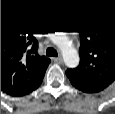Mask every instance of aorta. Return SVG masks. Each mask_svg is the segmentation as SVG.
Here are the masks:
<instances>
[{"instance_id": "aorta-1", "label": "aorta", "mask_w": 115, "mask_h": 114, "mask_svg": "<svg viewBox=\"0 0 115 114\" xmlns=\"http://www.w3.org/2000/svg\"><path fill=\"white\" fill-rule=\"evenodd\" d=\"M53 42L60 48L65 64L70 68H75L79 64L78 51L70 44L65 33H55L52 35Z\"/></svg>"}]
</instances>
